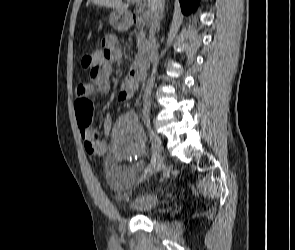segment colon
Returning <instances> with one entry per match:
<instances>
[{
  "label": "colon",
  "instance_id": "1",
  "mask_svg": "<svg viewBox=\"0 0 295 250\" xmlns=\"http://www.w3.org/2000/svg\"><path fill=\"white\" fill-rule=\"evenodd\" d=\"M81 66L84 69H92L94 66L93 55L86 53L81 58ZM75 113L78 125L81 129H86L91 126L94 114V106L90 99L81 98L75 102Z\"/></svg>",
  "mask_w": 295,
  "mask_h": 250
}]
</instances>
